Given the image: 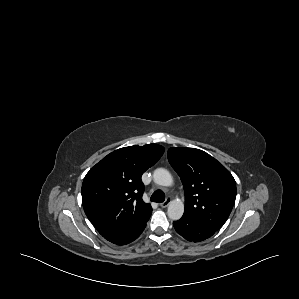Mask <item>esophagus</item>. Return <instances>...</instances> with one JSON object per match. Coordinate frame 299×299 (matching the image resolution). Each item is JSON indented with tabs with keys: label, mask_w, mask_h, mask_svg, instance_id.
Listing matches in <instances>:
<instances>
[{
	"label": "esophagus",
	"mask_w": 299,
	"mask_h": 299,
	"mask_svg": "<svg viewBox=\"0 0 299 299\" xmlns=\"http://www.w3.org/2000/svg\"><path fill=\"white\" fill-rule=\"evenodd\" d=\"M170 202H171V198H166V200L164 201V202H162L161 204H160V206L162 207V208H166V207H168V205L170 204Z\"/></svg>",
	"instance_id": "esophagus-1"
}]
</instances>
